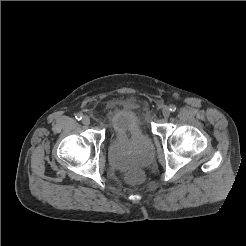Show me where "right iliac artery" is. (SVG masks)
I'll return each mask as SVG.
<instances>
[{"instance_id":"right-iliac-artery-1","label":"right iliac artery","mask_w":246,"mask_h":246,"mask_svg":"<svg viewBox=\"0 0 246 246\" xmlns=\"http://www.w3.org/2000/svg\"><path fill=\"white\" fill-rule=\"evenodd\" d=\"M82 117H83V115L81 114V113H78V114H76V116H75V118L77 119V120H81L82 119Z\"/></svg>"}]
</instances>
